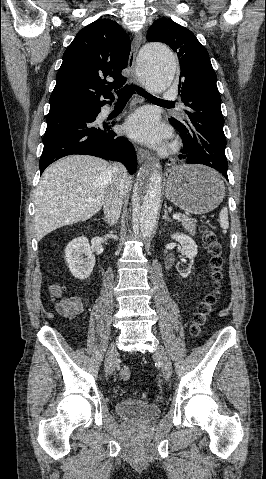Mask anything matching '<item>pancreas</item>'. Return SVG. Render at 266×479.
<instances>
[{
    "instance_id": "pancreas-1",
    "label": "pancreas",
    "mask_w": 266,
    "mask_h": 479,
    "mask_svg": "<svg viewBox=\"0 0 266 479\" xmlns=\"http://www.w3.org/2000/svg\"><path fill=\"white\" fill-rule=\"evenodd\" d=\"M179 215L180 218L178 219V221L182 223L183 227L185 228V230H187V232L194 235L196 233V220L189 218L184 214Z\"/></svg>"
}]
</instances>
